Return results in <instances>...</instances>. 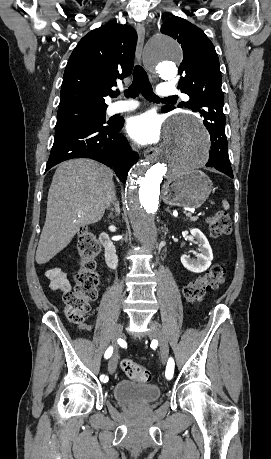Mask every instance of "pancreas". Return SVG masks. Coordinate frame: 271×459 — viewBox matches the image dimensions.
<instances>
[{"mask_svg":"<svg viewBox=\"0 0 271 459\" xmlns=\"http://www.w3.org/2000/svg\"><path fill=\"white\" fill-rule=\"evenodd\" d=\"M190 218L191 222H196V220H198V218H195V216H191V217H188Z\"/></svg>","mask_w":271,"mask_h":459,"instance_id":"obj_1","label":"pancreas"}]
</instances>
